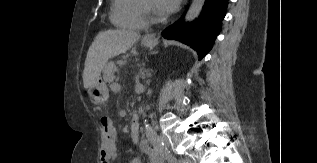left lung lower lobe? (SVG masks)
I'll list each match as a JSON object with an SVG mask.
<instances>
[{"label":"left lung lower lobe","instance_id":"1","mask_svg":"<svg viewBox=\"0 0 317 163\" xmlns=\"http://www.w3.org/2000/svg\"><path fill=\"white\" fill-rule=\"evenodd\" d=\"M228 0H206L198 19L183 23L182 19L162 32L166 39L181 41L196 49L202 59L211 49L221 29Z\"/></svg>","mask_w":317,"mask_h":163}]
</instances>
